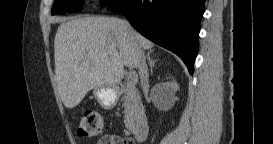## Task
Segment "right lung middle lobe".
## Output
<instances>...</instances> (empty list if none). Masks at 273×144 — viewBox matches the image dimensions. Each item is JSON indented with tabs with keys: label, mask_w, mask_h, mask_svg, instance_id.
Masks as SVG:
<instances>
[{
	"label": "right lung middle lobe",
	"mask_w": 273,
	"mask_h": 144,
	"mask_svg": "<svg viewBox=\"0 0 273 144\" xmlns=\"http://www.w3.org/2000/svg\"><path fill=\"white\" fill-rule=\"evenodd\" d=\"M79 0H55L51 14H64L66 12H73L79 10L81 5L77 3ZM112 0H103L102 6H106Z\"/></svg>",
	"instance_id": "right-lung-middle-lobe-1"
}]
</instances>
